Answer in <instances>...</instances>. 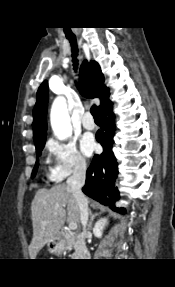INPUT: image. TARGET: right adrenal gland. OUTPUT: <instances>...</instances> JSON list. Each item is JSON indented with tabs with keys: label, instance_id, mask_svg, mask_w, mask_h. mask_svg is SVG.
Here are the masks:
<instances>
[{
	"label": "right adrenal gland",
	"instance_id": "obj_1",
	"mask_svg": "<svg viewBox=\"0 0 175 287\" xmlns=\"http://www.w3.org/2000/svg\"><path fill=\"white\" fill-rule=\"evenodd\" d=\"M96 216H98V213L92 214V212L90 211V221H89V224H88V230L92 229V223H93V220H94V218Z\"/></svg>",
	"mask_w": 175,
	"mask_h": 287
}]
</instances>
